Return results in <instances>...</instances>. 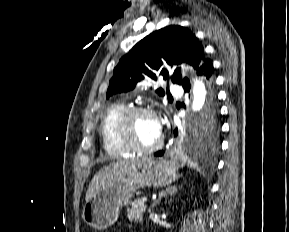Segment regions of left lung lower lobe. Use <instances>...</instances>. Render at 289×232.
Returning a JSON list of instances; mask_svg holds the SVG:
<instances>
[{"instance_id": "0a47b994", "label": "left lung lower lobe", "mask_w": 289, "mask_h": 232, "mask_svg": "<svg viewBox=\"0 0 289 232\" xmlns=\"http://www.w3.org/2000/svg\"><path fill=\"white\" fill-rule=\"evenodd\" d=\"M198 75H203L206 77V79L209 81V83L212 85L213 84V64L212 61L210 59H206L205 57L203 58L198 71H197ZM183 88L186 92L190 91V82H186L183 85ZM205 120L202 119L201 121ZM174 135L177 136V129L174 131ZM163 151H158L156 152L154 155L155 156H162L163 155Z\"/></svg>"}]
</instances>
